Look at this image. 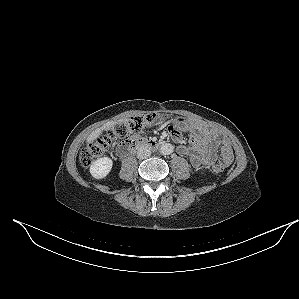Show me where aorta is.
<instances>
[{"label":"aorta","instance_id":"obj_1","mask_svg":"<svg viewBox=\"0 0 299 299\" xmlns=\"http://www.w3.org/2000/svg\"><path fill=\"white\" fill-rule=\"evenodd\" d=\"M160 152L163 155H169L173 152V146L171 144H163L160 148Z\"/></svg>","mask_w":299,"mask_h":299}]
</instances>
